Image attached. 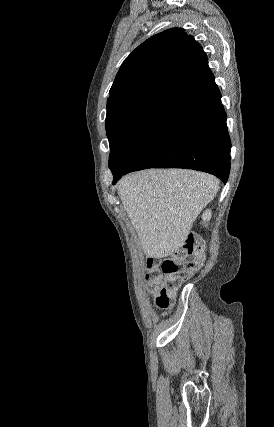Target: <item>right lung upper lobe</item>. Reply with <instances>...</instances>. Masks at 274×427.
Instances as JSON below:
<instances>
[{"label":"right lung upper lobe","instance_id":"right-lung-upper-lobe-1","mask_svg":"<svg viewBox=\"0 0 274 427\" xmlns=\"http://www.w3.org/2000/svg\"><path fill=\"white\" fill-rule=\"evenodd\" d=\"M214 79L202 47L184 29L158 33L138 46L123 62L110 89L107 111L146 95L175 101Z\"/></svg>","mask_w":274,"mask_h":427}]
</instances>
